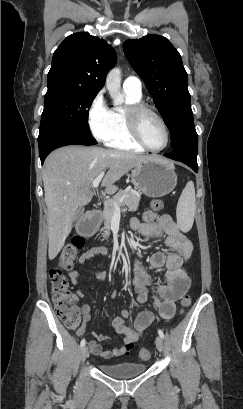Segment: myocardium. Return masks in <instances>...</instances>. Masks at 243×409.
<instances>
[{"label": "myocardium", "instance_id": "1", "mask_svg": "<svg viewBox=\"0 0 243 409\" xmlns=\"http://www.w3.org/2000/svg\"><path fill=\"white\" fill-rule=\"evenodd\" d=\"M145 113H149L153 115L163 127L166 140H165V144L160 148H153L149 146L144 141L141 135L139 120H140V117ZM124 116L126 119V124H127L130 136L142 148H144L145 150L151 151V152H161L168 147L169 142H170L169 128L164 118L156 110H154L153 108H151L150 106L144 103H140V102L133 103V104L127 105V107L124 109Z\"/></svg>", "mask_w": 243, "mask_h": 409}]
</instances>
